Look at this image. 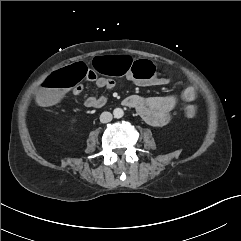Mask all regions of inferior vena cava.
<instances>
[{"instance_id":"inferior-vena-cava-1","label":"inferior vena cava","mask_w":241,"mask_h":241,"mask_svg":"<svg viewBox=\"0 0 241 241\" xmlns=\"http://www.w3.org/2000/svg\"><path fill=\"white\" fill-rule=\"evenodd\" d=\"M112 119H113V116L110 112H103L100 115V122L101 123H108V122L112 121Z\"/></svg>"}]
</instances>
